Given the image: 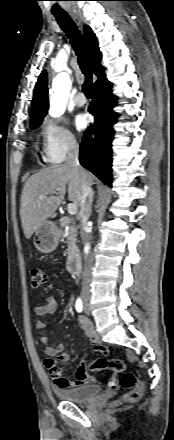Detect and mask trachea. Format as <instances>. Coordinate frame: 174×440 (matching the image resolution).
<instances>
[{
	"mask_svg": "<svg viewBox=\"0 0 174 440\" xmlns=\"http://www.w3.org/2000/svg\"><path fill=\"white\" fill-rule=\"evenodd\" d=\"M55 17L62 30L66 33V36L70 40V43L77 55L79 66L82 73L85 75V82L82 90L86 97L90 98L93 94L92 73L80 31L68 15H56Z\"/></svg>",
	"mask_w": 174,
	"mask_h": 440,
	"instance_id": "obj_1",
	"label": "trachea"
}]
</instances>
